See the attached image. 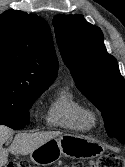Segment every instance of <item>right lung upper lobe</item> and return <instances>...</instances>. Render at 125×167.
<instances>
[{
    "mask_svg": "<svg viewBox=\"0 0 125 167\" xmlns=\"http://www.w3.org/2000/svg\"><path fill=\"white\" fill-rule=\"evenodd\" d=\"M58 61L48 23L35 14L7 10L0 15V89H47Z\"/></svg>",
    "mask_w": 125,
    "mask_h": 167,
    "instance_id": "obj_1",
    "label": "right lung upper lobe"
}]
</instances>
